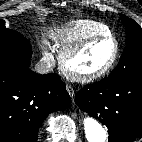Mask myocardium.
I'll return each mask as SVG.
<instances>
[{
  "instance_id": "f54148a6",
  "label": "myocardium",
  "mask_w": 142,
  "mask_h": 142,
  "mask_svg": "<svg viewBox=\"0 0 142 142\" xmlns=\"http://www.w3.org/2000/svg\"><path fill=\"white\" fill-rule=\"evenodd\" d=\"M101 40H110L114 44V52L110 60L100 69L83 73L77 70H74L70 66V62L73 58L81 54L86 48H88L90 45H92L95 42L101 41ZM119 43L117 39L112 35H96L89 37L75 46L71 47L70 49L64 51L60 56V65L63 72L71 77L72 79L80 82H92L95 81L103 76H105L115 65L118 57H119Z\"/></svg>"
}]
</instances>
